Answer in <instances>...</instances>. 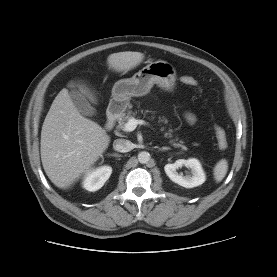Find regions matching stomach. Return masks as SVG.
I'll list each match as a JSON object with an SVG mask.
<instances>
[{"mask_svg": "<svg viewBox=\"0 0 277 277\" xmlns=\"http://www.w3.org/2000/svg\"><path fill=\"white\" fill-rule=\"evenodd\" d=\"M176 82V70L168 62L158 60L150 62L131 78L117 81L112 88L109 108L122 113L130 104L131 97L144 96L157 84L166 91H173Z\"/></svg>", "mask_w": 277, "mask_h": 277, "instance_id": "obj_1", "label": "stomach"}]
</instances>
